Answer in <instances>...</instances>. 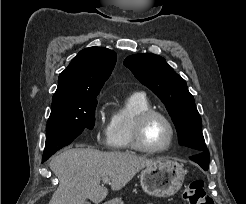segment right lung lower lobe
<instances>
[{"label": "right lung lower lobe", "instance_id": "obj_1", "mask_svg": "<svg viewBox=\"0 0 246 204\" xmlns=\"http://www.w3.org/2000/svg\"><path fill=\"white\" fill-rule=\"evenodd\" d=\"M47 159H48V158H43V159H42V162L46 161Z\"/></svg>", "mask_w": 246, "mask_h": 204}]
</instances>
